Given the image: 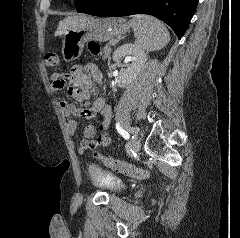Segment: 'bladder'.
<instances>
[{"label":"bladder","instance_id":"bladder-1","mask_svg":"<svg viewBox=\"0 0 240 238\" xmlns=\"http://www.w3.org/2000/svg\"><path fill=\"white\" fill-rule=\"evenodd\" d=\"M86 174L94 185L109 192H118L122 188V182L117 176L92 162L86 163Z\"/></svg>","mask_w":240,"mask_h":238}]
</instances>
